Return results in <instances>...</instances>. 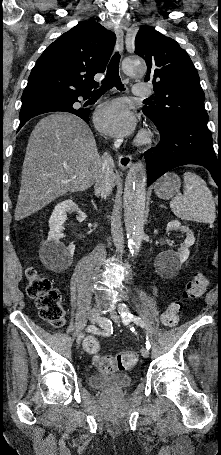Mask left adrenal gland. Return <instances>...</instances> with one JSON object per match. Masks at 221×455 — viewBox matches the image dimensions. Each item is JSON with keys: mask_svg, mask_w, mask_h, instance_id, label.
Wrapping results in <instances>:
<instances>
[{"mask_svg": "<svg viewBox=\"0 0 221 455\" xmlns=\"http://www.w3.org/2000/svg\"><path fill=\"white\" fill-rule=\"evenodd\" d=\"M160 207H161V208H165V206H164V205H160Z\"/></svg>", "mask_w": 221, "mask_h": 455, "instance_id": "left-adrenal-gland-1", "label": "left adrenal gland"}]
</instances>
